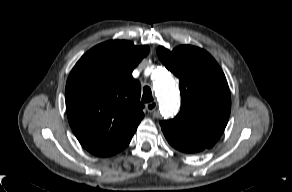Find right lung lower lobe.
Here are the masks:
<instances>
[{"instance_id":"1","label":"right lung lower lobe","mask_w":292,"mask_h":192,"mask_svg":"<svg viewBox=\"0 0 292 192\" xmlns=\"http://www.w3.org/2000/svg\"><path fill=\"white\" fill-rule=\"evenodd\" d=\"M130 141H127L119 146L113 148H99V149H87L90 153L100 156V157H107L114 155L127 147Z\"/></svg>"}]
</instances>
